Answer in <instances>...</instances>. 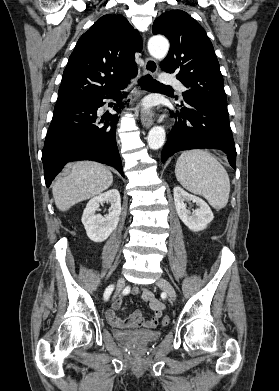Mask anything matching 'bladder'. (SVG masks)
Instances as JSON below:
<instances>
[{"label":"bladder","mask_w":279,"mask_h":391,"mask_svg":"<svg viewBox=\"0 0 279 391\" xmlns=\"http://www.w3.org/2000/svg\"><path fill=\"white\" fill-rule=\"evenodd\" d=\"M114 335L124 344L130 346H145L158 340L161 332L151 330H125L117 331Z\"/></svg>","instance_id":"1"}]
</instances>
